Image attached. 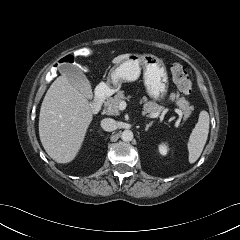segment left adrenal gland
<instances>
[{
    "label": "left adrenal gland",
    "instance_id": "obj_1",
    "mask_svg": "<svg viewBox=\"0 0 240 240\" xmlns=\"http://www.w3.org/2000/svg\"><path fill=\"white\" fill-rule=\"evenodd\" d=\"M151 125H152V122L149 124H146L145 131H147Z\"/></svg>",
    "mask_w": 240,
    "mask_h": 240
}]
</instances>
